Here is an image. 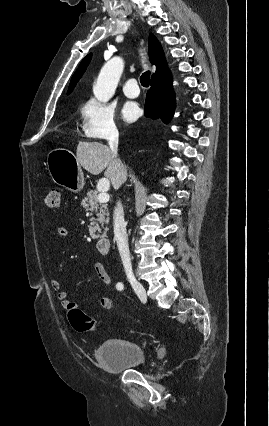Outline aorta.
<instances>
[{
  "instance_id": "obj_1",
  "label": "aorta",
  "mask_w": 269,
  "mask_h": 426,
  "mask_svg": "<svg viewBox=\"0 0 269 426\" xmlns=\"http://www.w3.org/2000/svg\"><path fill=\"white\" fill-rule=\"evenodd\" d=\"M124 68L120 57H114L101 69L93 86L94 96L101 102H107L114 94Z\"/></svg>"
}]
</instances>
